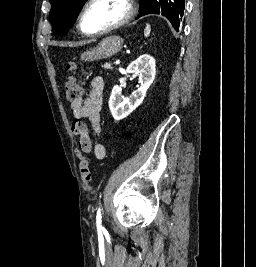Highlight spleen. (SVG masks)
<instances>
[{
	"instance_id": "3e777b00",
	"label": "spleen",
	"mask_w": 256,
	"mask_h": 267,
	"mask_svg": "<svg viewBox=\"0 0 256 267\" xmlns=\"http://www.w3.org/2000/svg\"><path fill=\"white\" fill-rule=\"evenodd\" d=\"M150 32H151V26H150V24H146V28L144 30L145 38H148V36H150Z\"/></svg>"
}]
</instances>
